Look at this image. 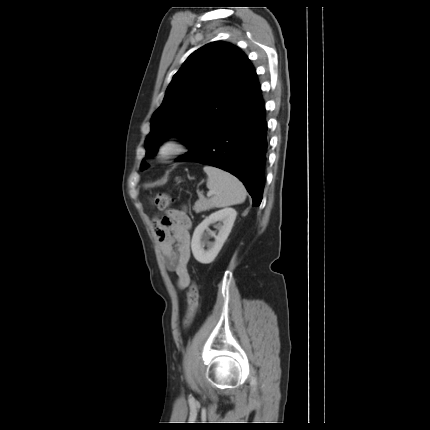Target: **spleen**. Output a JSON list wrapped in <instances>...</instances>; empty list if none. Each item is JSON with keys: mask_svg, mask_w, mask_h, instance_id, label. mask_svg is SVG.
Instances as JSON below:
<instances>
[{"mask_svg": "<svg viewBox=\"0 0 430 430\" xmlns=\"http://www.w3.org/2000/svg\"><path fill=\"white\" fill-rule=\"evenodd\" d=\"M203 170L208 175L207 187L214 192L212 206L221 208L245 201L247 192L237 177L215 166L206 165Z\"/></svg>", "mask_w": 430, "mask_h": 430, "instance_id": "3e777b00", "label": "spleen"}]
</instances>
